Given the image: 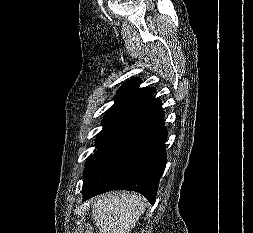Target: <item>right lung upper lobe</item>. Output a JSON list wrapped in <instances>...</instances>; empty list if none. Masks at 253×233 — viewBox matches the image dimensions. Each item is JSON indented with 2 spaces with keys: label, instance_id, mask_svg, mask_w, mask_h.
Segmentation results:
<instances>
[{
  "label": "right lung upper lobe",
  "instance_id": "1",
  "mask_svg": "<svg viewBox=\"0 0 253 233\" xmlns=\"http://www.w3.org/2000/svg\"><path fill=\"white\" fill-rule=\"evenodd\" d=\"M141 82L140 78H133L123 84L118 90L115 103H132L137 105L153 95L156 89L154 87L139 88Z\"/></svg>",
  "mask_w": 253,
  "mask_h": 233
}]
</instances>
